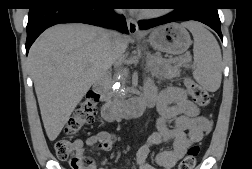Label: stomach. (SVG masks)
I'll return each mask as SVG.
<instances>
[{"instance_id": "obj_1", "label": "stomach", "mask_w": 252, "mask_h": 169, "mask_svg": "<svg viewBox=\"0 0 252 169\" xmlns=\"http://www.w3.org/2000/svg\"><path fill=\"white\" fill-rule=\"evenodd\" d=\"M148 42L154 49L173 55L184 53L191 45L188 31L177 23L166 24L152 30Z\"/></svg>"}]
</instances>
